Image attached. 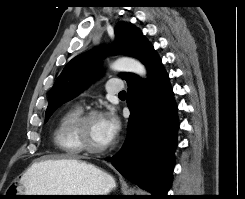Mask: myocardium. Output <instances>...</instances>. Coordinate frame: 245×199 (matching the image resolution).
I'll use <instances>...</instances> for the list:
<instances>
[{
  "label": "myocardium",
  "instance_id": "myocardium-1",
  "mask_svg": "<svg viewBox=\"0 0 245 199\" xmlns=\"http://www.w3.org/2000/svg\"><path fill=\"white\" fill-rule=\"evenodd\" d=\"M96 116H102V113L97 109H90L82 112L73 122L71 133L75 143L81 151L90 154H102L111 149L112 144L105 147H93L85 140V128L90 119Z\"/></svg>",
  "mask_w": 245,
  "mask_h": 199
}]
</instances>
